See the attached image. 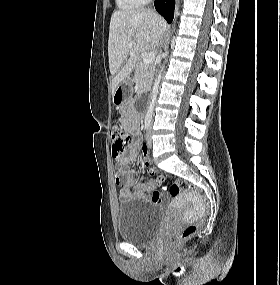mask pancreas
<instances>
[{"label": "pancreas", "mask_w": 280, "mask_h": 285, "mask_svg": "<svg viewBox=\"0 0 280 285\" xmlns=\"http://www.w3.org/2000/svg\"><path fill=\"white\" fill-rule=\"evenodd\" d=\"M155 71V63H145L138 59L135 67L134 81L140 93L148 91L151 87Z\"/></svg>", "instance_id": "1"}]
</instances>
